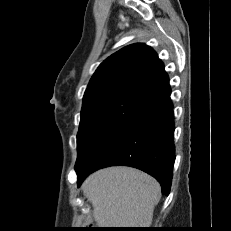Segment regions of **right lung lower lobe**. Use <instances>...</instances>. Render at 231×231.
<instances>
[{"instance_id":"98d812e1","label":"right lung lower lobe","mask_w":231,"mask_h":231,"mask_svg":"<svg viewBox=\"0 0 231 231\" xmlns=\"http://www.w3.org/2000/svg\"><path fill=\"white\" fill-rule=\"evenodd\" d=\"M170 95L148 103L107 137L76 170L78 186L92 172L125 165L153 176L168 194L175 160L174 115Z\"/></svg>"}]
</instances>
